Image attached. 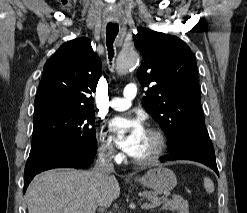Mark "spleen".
<instances>
[{"label":"spleen","instance_id":"obj_1","mask_svg":"<svg viewBox=\"0 0 247 213\" xmlns=\"http://www.w3.org/2000/svg\"><path fill=\"white\" fill-rule=\"evenodd\" d=\"M204 187L208 193H212L214 191V184L210 178H204Z\"/></svg>","mask_w":247,"mask_h":213}]
</instances>
